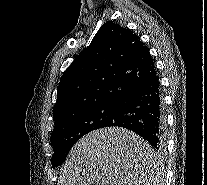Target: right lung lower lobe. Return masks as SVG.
I'll use <instances>...</instances> for the list:
<instances>
[{
  "label": "right lung lower lobe",
  "mask_w": 207,
  "mask_h": 185,
  "mask_svg": "<svg viewBox=\"0 0 207 185\" xmlns=\"http://www.w3.org/2000/svg\"><path fill=\"white\" fill-rule=\"evenodd\" d=\"M119 104L116 120L106 126L127 128L155 149H163L166 121L159 77L156 75L133 87Z\"/></svg>",
  "instance_id": "right-lung-lower-lobe-1"
}]
</instances>
